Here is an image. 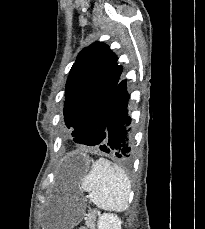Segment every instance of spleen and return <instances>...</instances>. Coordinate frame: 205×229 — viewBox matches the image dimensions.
<instances>
[{
  "label": "spleen",
  "mask_w": 205,
  "mask_h": 229,
  "mask_svg": "<svg viewBox=\"0 0 205 229\" xmlns=\"http://www.w3.org/2000/svg\"><path fill=\"white\" fill-rule=\"evenodd\" d=\"M79 188L89 192L90 202L104 210L124 211L128 207L131 183L125 172L105 158L92 164Z\"/></svg>",
  "instance_id": "1"
}]
</instances>
